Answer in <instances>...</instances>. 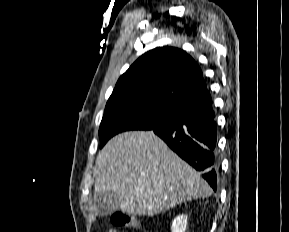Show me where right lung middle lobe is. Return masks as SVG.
<instances>
[{"instance_id": "right-lung-middle-lobe-1", "label": "right lung middle lobe", "mask_w": 289, "mask_h": 232, "mask_svg": "<svg viewBox=\"0 0 289 232\" xmlns=\"http://www.w3.org/2000/svg\"><path fill=\"white\" fill-rule=\"evenodd\" d=\"M180 109L142 97L109 98L99 129L100 147L127 130H152L175 119Z\"/></svg>"}]
</instances>
